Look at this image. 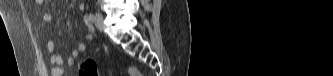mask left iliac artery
I'll use <instances>...</instances> for the list:
<instances>
[{
	"label": "left iliac artery",
	"instance_id": "left-iliac-artery-1",
	"mask_svg": "<svg viewBox=\"0 0 333 76\" xmlns=\"http://www.w3.org/2000/svg\"><path fill=\"white\" fill-rule=\"evenodd\" d=\"M88 20H89V21H93V20H94V14L90 13V14L88 15Z\"/></svg>",
	"mask_w": 333,
	"mask_h": 76
}]
</instances>
